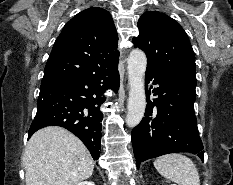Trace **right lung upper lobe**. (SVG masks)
Here are the masks:
<instances>
[{
    "mask_svg": "<svg viewBox=\"0 0 233 185\" xmlns=\"http://www.w3.org/2000/svg\"><path fill=\"white\" fill-rule=\"evenodd\" d=\"M118 35L110 13L88 8L66 23L44 69L42 83L93 74L118 65Z\"/></svg>",
    "mask_w": 233,
    "mask_h": 185,
    "instance_id": "obj_1",
    "label": "right lung upper lobe"
}]
</instances>
